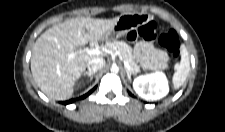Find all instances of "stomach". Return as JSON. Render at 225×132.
Returning <instances> with one entry per match:
<instances>
[{"mask_svg": "<svg viewBox=\"0 0 225 132\" xmlns=\"http://www.w3.org/2000/svg\"><path fill=\"white\" fill-rule=\"evenodd\" d=\"M132 21H136L133 15L131 16H124L122 15L118 21V23L109 31H107L104 36L103 40L106 41H115L118 39L122 34L127 32L128 30H124L119 26V23H132Z\"/></svg>", "mask_w": 225, "mask_h": 132, "instance_id": "1", "label": "stomach"}]
</instances>
